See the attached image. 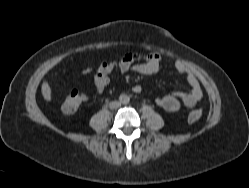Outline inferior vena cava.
Here are the masks:
<instances>
[{
    "label": "inferior vena cava",
    "mask_w": 249,
    "mask_h": 188,
    "mask_svg": "<svg viewBox=\"0 0 249 188\" xmlns=\"http://www.w3.org/2000/svg\"><path fill=\"white\" fill-rule=\"evenodd\" d=\"M120 105H121L120 102H111L109 106L111 109H114V108H118Z\"/></svg>",
    "instance_id": "inferior-vena-cava-1"
}]
</instances>
